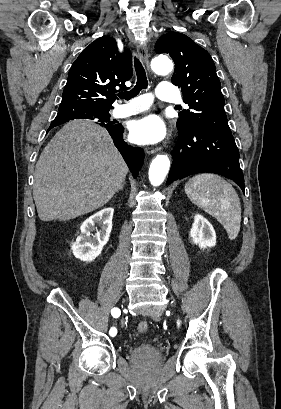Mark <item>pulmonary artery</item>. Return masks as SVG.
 I'll return each instance as SVG.
<instances>
[{
    "mask_svg": "<svg viewBox=\"0 0 281 409\" xmlns=\"http://www.w3.org/2000/svg\"><path fill=\"white\" fill-rule=\"evenodd\" d=\"M157 96L165 103H176L180 100L176 81H162L158 88ZM152 97L150 94H136L134 96L135 102H124L122 107L117 106L112 111V116L117 119L126 118L141 110L150 107ZM140 103H147L140 105Z\"/></svg>",
    "mask_w": 281,
    "mask_h": 409,
    "instance_id": "1",
    "label": "pulmonary artery"
}]
</instances>
